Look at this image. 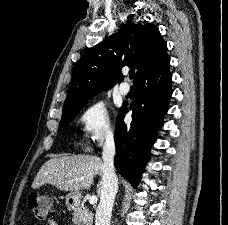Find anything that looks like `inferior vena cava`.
Listing matches in <instances>:
<instances>
[{"label": "inferior vena cava", "mask_w": 228, "mask_h": 225, "mask_svg": "<svg viewBox=\"0 0 228 225\" xmlns=\"http://www.w3.org/2000/svg\"><path fill=\"white\" fill-rule=\"evenodd\" d=\"M115 143L113 135H108L102 153L103 175L100 203L95 215V225H110L112 209L118 191V179L114 169Z\"/></svg>", "instance_id": "602c4592"}]
</instances>
